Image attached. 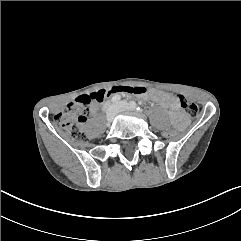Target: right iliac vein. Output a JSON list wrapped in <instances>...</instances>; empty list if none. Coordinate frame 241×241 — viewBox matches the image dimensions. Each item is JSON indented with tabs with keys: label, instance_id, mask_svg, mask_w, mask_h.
<instances>
[{
	"label": "right iliac vein",
	"instance_id": "1",
	"mask_svg": "<svg viewBox=\"0 0 241 241\" xmlns=\"http://www.w3.org/2000/svg\"><path fill=\"white\" fill-rule=\"evenodd\" d=\"M119 111V107L116 104L110 105L106 114V123L110 124Z\"/></svg>",
	"mask_w": 241,
	"mask_h": 241
}]
</instances>
